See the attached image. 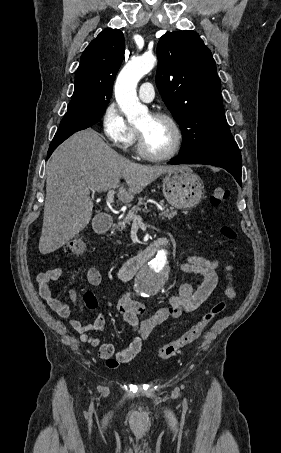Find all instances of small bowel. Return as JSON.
Returning <instances> with one entry per match:
<instances>
[{
    "label": "small bowel",
    "mask_w": 281,
    "mask_h": 453,
    "mask_svg": "<svg viewBox=\"0 0 281 453\" xmlns=\"http://www.w3.org/2000/svg\"><path fill=\"white\" fill-rule=\"evenodd\" d=\"M149 245H155L157 250L161 248L159 240ZM219 266L228 274L225 294L229 301H233L236 297V291L233 287V280L229 276L232 265L229 263L221 264L213 259L196 256H192L187 262L180 263L178 271L181 274L198 276L201 284L197 289H193L190 285H181L178 292L171 298L169 308L161 309L149 318L140 321L138 316L144 312L143 306L127 293L123 295L118 300L116 307L124 321L133 328L135 334L129 345L120 350H115L112 344H101L98 338L90 334L91 331L102 332L104 330L106 321L101 312L97 313L92 323L82 324L77 319H71L70 324L79 333L82 343L98 348L99 358L105 360L110 369H116L121 363H127L134 359L154 328L160 326L168 318H178L183 311L191 312L198 309L219 284V278L215 272V269ZM62 276L63 270L61 268H49L38 273L37 283L42 299L49 303L58 315L70 318L69 306L64 301L53 297L52 287L50 286L51 281L60 279ZM86 278L88 283L94 286H100L102 283L101 274L94 268L88 270ZM69 297L74 306H77L75 288L69 289Z\"/></svg>",
    "instance_id": "1"
}]
</instances>
